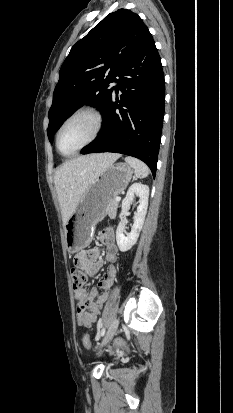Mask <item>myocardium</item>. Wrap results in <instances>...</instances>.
I'll use <instances>...</instances> for the list:
<instances>
[{"label":"myocardium","mask_w":233,"mask_h":413,"mask_svg":"<svg viewBox=\"0 0 233 413\" xmlns=\"http://www.w3.org/2000/svg\"><path fill=\"white\" fill-rule=\"evenodd\" d=\"M80 115H89L90 117L93 118L94 123H95V127L93 130L92 135L90 136V138L84 143L82 144L80 147H78L76 150H74L73 152L69 153V154H64L63 152H61L60 148H59V138H60V134L62 132V130L64 129V127L74 118L80 116ZM103 128V117L101 112L93 106H82L78 109H76L74 112H72L60 125V127L57 130L56 133V137H55V145H56V149L57 151L65 157H70L73 156L75 154H77L79 151H81L82 149H84L85 147H87L88 145H90L91 143H93L98 136L100 135L101 131Z\"/></svg>","instance_id":"myocardium-1"}]
</instances>
